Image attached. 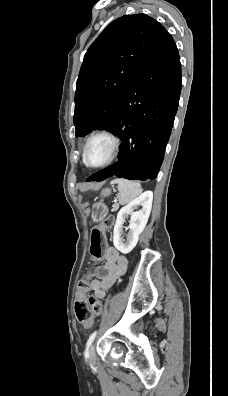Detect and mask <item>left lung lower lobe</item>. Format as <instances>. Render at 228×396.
Masks as SVG:
<instances>
[{
    "label": "left lung lower lobe",
    "instance_id": "0a47b994",
    "mask_svg": "<svg viewBox=\"0 0 228 396\" xmlns=\"http://www.w3.org/2000/svg\"><path fill=\"white\" fill-rule=\"evenodd\" d=\"M180 91L178 50L163 27L107 129L122 140L120 158L87 181L99 182L114 175L129 180L155 179L164 158Z\"/></svg>",
    "mask_w": 228,
    "mask_h": 396
}]
</instances>
